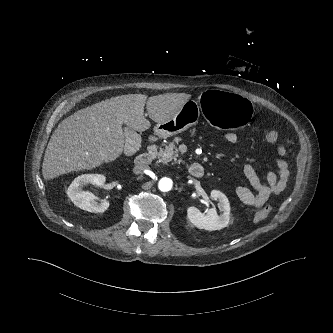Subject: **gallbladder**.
Returning a JSON list of instances; mask_svg holds the SVG:
<instances>
[{
    "label": "gallbladder",
    "instance_id": "bac80fb5",
    "mask_svg": "<svg viewBox=\"0 0 333 333\" xmlns=\"http://www.w3.org/2000/svg\"><path fill=\"white\" fill-rule=\"evenodd\" d=\"M125 137L126 148L130 145H132L135 150L140 148L141 138L131 127L125 128Z\"/></svg>",
    "mask_w": 333,
    "mask_h": 333
}]
</instances>
